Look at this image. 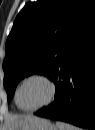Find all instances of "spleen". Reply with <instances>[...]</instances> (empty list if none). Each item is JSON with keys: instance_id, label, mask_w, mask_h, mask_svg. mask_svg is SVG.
I'll return each instance as SVG.
<instances>
[{"instance_id": "spleen-1", "label": "spleen", "mask_w": 95, "mask_h": 130, "mask_svg": "<svg viewBox=\"0 0 95 130\" xmlns=\"http://www.w3.org/2000/svg\"><path fill=\"white\" fill-rule=\"evenodd\" d=\"M56 126L58 130H79L78 127L61 121H57Z\"/></svg>"}]
</instances>
